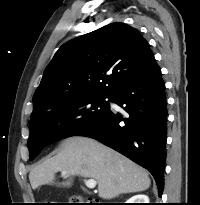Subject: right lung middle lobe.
Returning a JSON list of instances; mask_svg holds the SVG:
<instances>
[{
    "label": "right lung middle lobe",
    "instance_id": "dd1d6c3e",
    "mask_svg": "<svg viewBox=\"0 0 200 205\" xmlns=\"http://www.w3.org/2000/svg\"><path fill=\"white\" fill-rule=\"evenodd\" d=\"M106 98L111 96L88 95L54 103L31 118L28 149L30 160L41 150L60 139L77 135L96 123L109 110Z\"/></svg>",
    "mask_w": 200,
    "mask_h": 205
}]
</instances>
